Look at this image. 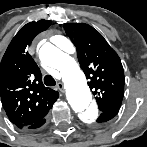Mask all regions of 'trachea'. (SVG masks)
Returning a JSON list of instances; mask_svg holds the SVG:
<instances>
[{
    "instance_id": "3493384b",
    "label": "trachea",
    "mask_w": 147,
    "mask_h": 147,
    "mask_svg": "<svg viewBox=\"0 0 147 147\" xmlns=\"http://www.w3.org/2000/svg\"><path fill=\"white\" fill-rule=\"evenodd\" d=\"M44 83L47 86H54L56 84V81H55V79L51 75H46L44 77Z\"/></svg>"
}]
</instances>
